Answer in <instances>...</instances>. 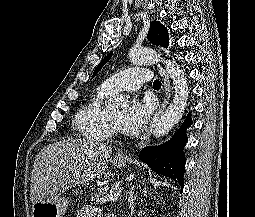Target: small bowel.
Masks as SVG:
<instances>
[{"mask_svg": "<svg viewBox=\"0 0 255 217\" xmlns=\"http://www.w3.org/2000/svg\"><path fill=\"white\" fill-rule=\"evenodd\" d=\"M100 211L96 206L86 205L79 210L77 217H99Z\"/></svg>", "mask_w": 255, "mask_h": 217, "instance_id": "small-bowel-1", "label": "small bowel"}]
</instances>
